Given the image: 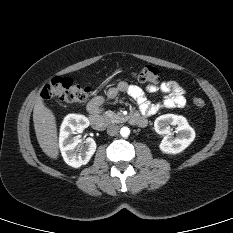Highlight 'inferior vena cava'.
Segmentation results:
<instances>
[{
	"instance_id": "1",
	"label": "inferior vena cava",
	"mask_w": 233,
	"mask_h": 233,
	"mask_svg": "<svg viewBox=\"0 0 233 233\" xmlns=\"http://www.w3.org/2000/svg\"><path fill=\"white\" fill-rule=\"evenodd\" d=\"M119 126L116 125V124H111L108 126L107 128V134L110 135V136H115L118 134L119 132Z\"/></svg>"
}]
</instances>
